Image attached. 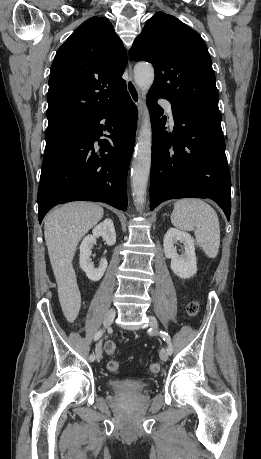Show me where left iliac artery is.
<instances>
[{
	"label": "left iliac artery",
	"instance_id": "left-iliac-artery-1",
	"mask_svg": "<svg viewBox=\"0 0 261 459\" xmlns=\"http://www.w3.org/2000/svg\"><path fill=\"white\" fill-rule=\"evenodd\" d=\"M149 333H153L152 329H149ZM159 335L168 344L167 352H168L169 355H171L173 353V346H172V343H171L170 336L168 335V333H166L164 331H160Z\"/></svg>",
	"mask_w": 261,
	"mask_h": 459
}]
</instances>
